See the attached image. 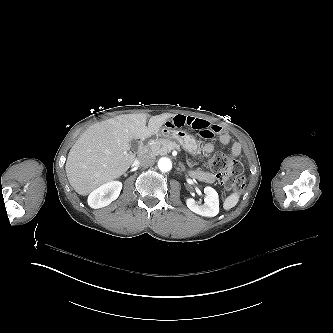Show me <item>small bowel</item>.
Instances as JSON below:
<instances>
[{"label": "small bowel", "instance_id": "obj_1", "mask_svg": "<svg viewBox=\"0 0 333 333\" xmlns=\"http://www.w3.org/2000/svg\"><path fill=\"white\" fill-rule=\"evenodd\" d=\"M166 127L168 129L186 127L195 130L198 136L204 138L219 136V140L223 145H227L231 142V135L227 131H224L219 125L210 123L209 121L196 116L184 114L174 115L167 120ZM203 150L205 153L210 154L214 151V146L213 144L208 143L203 147ZM230 152L233 159L239 157L242 152L241 144L237 141H233ZM191 175L194 178L207 183H212L215 179L214 175L201 170H194Z\"/></svg>", "mask_w": 333, "mask_h": 333}]
</instances>
